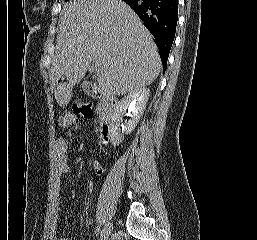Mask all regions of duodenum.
<instances>
[{
  "label": "duodenum",
  "instance_id": "obj_1",
  "mask_svg": "<svg viewBox=\"0 0 257 240\" xmlns=\"http://www.w3.org/2000/svg\"><path fill=\"white\" fill-rule=\"evenodd\" d=\"M84 89L88 95L101 101L102 115L100 125V137L103 143H107L112 128V117L117 106V100L113 95L103 91L102 89L91 83H85Z\"/></svg>",
  "mask_w": 257,
  "mask_h": 240
}]
</instances>
